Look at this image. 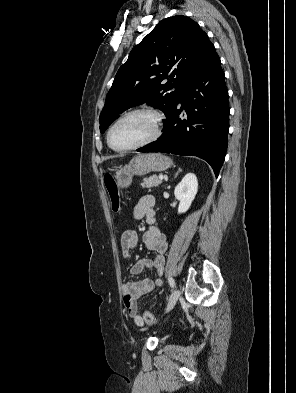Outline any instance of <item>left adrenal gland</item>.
<instances>
[{"instance_id": "left-adrenal-gland-1", "label": "left adrenal gland", "mask_w": 296, "mask_h": 393, "mask_svg": "<svg viewBox=\"0 0 296 393\" xmlns=\"http://www.w3.org/2000/svg\"><path fill=\"white\" fill-rule=\"evenodd\" d=\"M182 170L179 168L178 171L175 173V176H177Z\"/></svg>"}]
</instances>
